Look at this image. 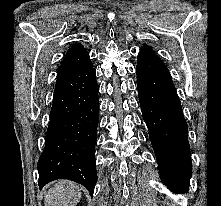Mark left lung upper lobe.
<instances>
[{"label": "left lung upper lobe", "mask_w": 221, "mask_h": 206, "mask_svg": "<svg viewBox=\"0 0 221 206\" xmlns=\"http://www.w3.org/2000/svg\"><path fill=\"white\" fill-rule=\"evenodd\" d=\"M137 70L170 75L165 64L148 46L142 47L138 54Z\"/></svg>", "instance_id": "5c2ea615"}]
</instances>
